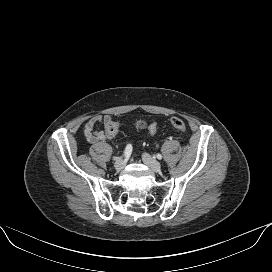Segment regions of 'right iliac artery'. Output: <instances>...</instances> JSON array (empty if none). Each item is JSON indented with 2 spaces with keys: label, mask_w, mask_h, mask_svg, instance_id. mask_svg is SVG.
I'll list each match as a JSON object with an SVG mask.
<instances>
[{
  "label": "right iliac artery",
  "mask_w": 272,
  "mask_h": 272,
  "mask_svg": "<svg viewBox=\"0 0 272 272\" xmlns=\"http://www.w3.org/2000/svg\"><path fill=\"white\" fill-rule=\"evenodd\" d=\"M131 152H132V145L131 144H128L125 148V151H124V154H123V157L127 158L131 155ZM114 160L116 159H119L118 157H113Z\"/></svg>",
  "instance_id": "obj_1"
}]
</instances>
